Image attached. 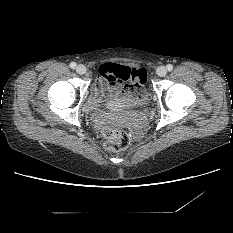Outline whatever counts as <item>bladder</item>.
Here are the masks:
<instances>
[{"mask_svg": "<svg viewBox=\"0 0 233 233\" xmlns=\"http://www.w3.org/2000/svg\"><path fill=\"white\" fill-rule=\"evenodd\" d=\"M147 101H148V94L147 93L140 94L136 98V103L138 106H143ZM87 112L90 115H93L96 113L95 110H87Z\"/></svg>", "mask_w": 233, "mask_h": 233, "instance_id": "1", "label": "bladder"}]
</instances>
